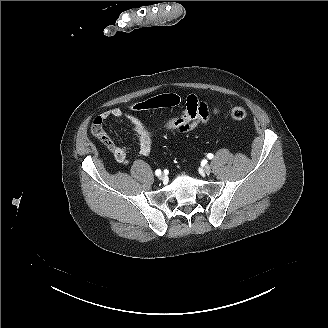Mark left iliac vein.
Masks as SVG:
<instances>
[{"instance_id":"left-iliac-vein-1","label":"left iliac vein","mask_w":328,"mask_h":328,"mask_svg":"<svg viewBox=\"0 0 328 328\" xmlns=\"http://www.w3.org/2000/svg\"><path fill=\"white\" fill-rule=\"evenodd\" d=\"M203 170H204V172L206 173V174H210L211 173V166L210 165H205L204 166V168H203Z\"/></svg>"}]
</instances>
